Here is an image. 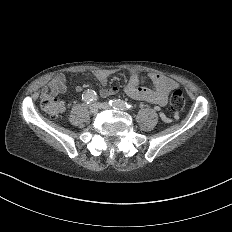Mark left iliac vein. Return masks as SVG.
<instances>
[{"label": "left iliac vein", "instance_id": "4c4485c4", "mask_svg": "<svg viewBox=\"0 0 232 232\" xmlns=\"http://www.w3.org/2000/svg\"><path fill=\"white\" fill-rule=\"evenodd\" d=\"M109 106H110L109 102H106V103L97 102L93 104V108L98 109V110H101L102 108L108 109Z\"/></svg>", "mask_w": 232, "mask_h": 232}]
</instances>
